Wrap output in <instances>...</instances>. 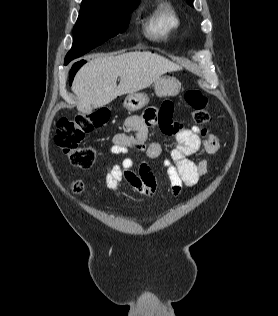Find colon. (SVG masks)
Listing matches in <instances>:
<instances>
[{
  "label": "colon",
  "instance_id": "colon-1",
  "mask_svg": "<svg viewBox=\"0 0 278 316\" xmlns=\"http://www.w3.org/2000/svg\"><path fill=\"white\" fill-rule=\"evenodd\" d=\"M186 103L193 109V120L197 125H203L211 120V113L207 108V98L203 93L190 88L185 93ZM108 120L105 111H97L88 115L77 114L72 118L63 117L58 121L55 143L69 157L71 163L81 169L90 168L97 160L98 149L92 146H82L85 135L102 127ZM75 193L83 191L81 181L71 185Z\"/></svg>",
  "mask_w": 278,
  "mask_h": 316
}]
</instances>
